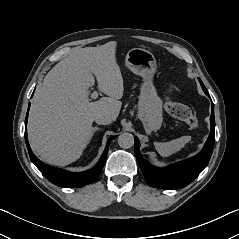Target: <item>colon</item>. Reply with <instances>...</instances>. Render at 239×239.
<instances>
[{"mask_svg":"<svg viewBox=\"0 0 239 239\" xmlns=\"http://www.w3.org/2000/svg\"><path fill=\"white\" fill-rule=\"evenodd\" d=\"M164 106L169 114L183 121L189 128L197 129L199 127L197 117L188 106L177 103L169 97L165 99Z\"/></svg>","mask_w":239,"mask_h":239,"instance_id":"obj_1","label":"colon"}]
</instances>
